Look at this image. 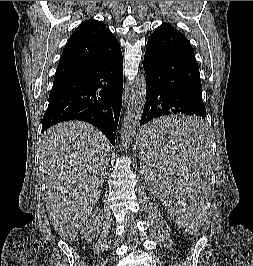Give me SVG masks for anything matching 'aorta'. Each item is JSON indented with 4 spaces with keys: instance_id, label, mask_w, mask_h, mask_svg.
Wrapping results in <instances>:
<instances>
[{
    "instance_id": "1",
    "label": "aorta",
    "mask_w": 253,
    "mask_h": 266,
    "mask_svg": "<svg viewBox=\"0 0 253 266\" xmlns=\"http://www.w3.org/2000/svg\"><path fill=\"white\" fill-rule=\"evenodd\" d=\"M146 101V77L142 73L135 79L134 86L131 91L130 101L124 115L122 128L120 131L121 142L127 145L136 134L143 108Z\"/></svg>"
}]
</instances>
